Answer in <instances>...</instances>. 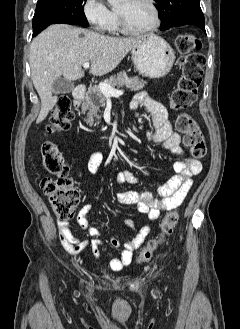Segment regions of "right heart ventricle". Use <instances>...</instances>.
I'll return each instance as SVG.
<instances>
[{"label": "right heart ventricle", "mask_w": 240, "mask_h": 329, "mask_svg": "<svg viewBox=\"0 0 240 329\" xmlns=\"http://www.w3.org/2000/svg\"><path fill=\"white\" fill-rule=\"evenodd\" d=\"M108 30L112 33H115L119 30L118 18H117V14L115 11H113V20H112Z\"/></svg>", "instance_id": "e07e8e85"}]
</instances>
